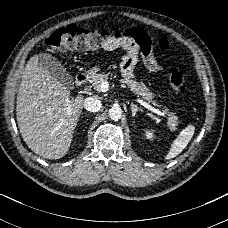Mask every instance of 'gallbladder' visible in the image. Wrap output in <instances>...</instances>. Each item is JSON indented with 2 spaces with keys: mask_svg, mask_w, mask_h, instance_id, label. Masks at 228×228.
Returning <instances> with one entry per match:
<instances>
[{
  "mask_svg": "<svg viewBox=\"0 0 228 228\" xmlns=\"http://www.w3.org/2000/svg\"><path fill=\"white\" fill-rule=\"evenodd\" d=\"M39 65L50 70L61 83L66 84L69 87L73 84V76L53 55L41 53L39 55Z\"/></svg>",
  "mask_w": 228,
  "mask_h": 228,
  "instance_id": "obj_1",
  "label": "gallbladder"
}]
</instances>
